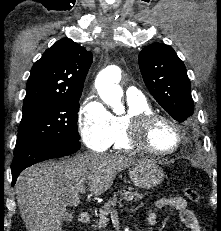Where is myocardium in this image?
Instances as JSON below:
<instances>
[{
  "label": "myocardium",
  "mask_w": 221,
  "mask_h": 231,
  "mask_svg": "<svg viewBox=\"0 0 221 231\" xmlns=\"http://www.w3.org/2000/svg\"><path fill=\"white\" fill-rule=\"evenodd\" d=\"M165 122L170 125L177 136L175 146L167 151H159L150 143V132L155 124ZM126 138L131 146L155 156H168L175 153L182 145L183 132L180 125L167 115L157 112H144L126 120Z\"/></svg>",
  "instance_id": "obj_1"
}]
</instances>
